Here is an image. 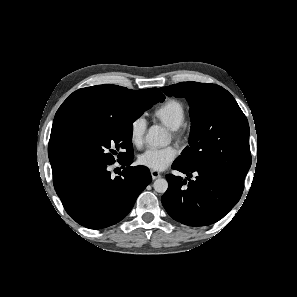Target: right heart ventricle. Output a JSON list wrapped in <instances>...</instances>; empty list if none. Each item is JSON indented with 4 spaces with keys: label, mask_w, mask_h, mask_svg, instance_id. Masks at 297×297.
<instances>
[{
    "label": "right heart ventricle",
    "mask_w": 297,
    "mask_h": 297,
    "mask_svg": "<svg viewBox=\"0 0 297 297\" xmlns=\"http://www.w3.org/2000/svg\"><path fill=\"white\" fill-rule=\"evenodd\" d=\"M153 116L172 130L183 125L186 118V111L181 101L177 99H167L154 109Z\"/></svg>",
    "instance_id": "right-heart-ventricle-1"
}]
</instances>
